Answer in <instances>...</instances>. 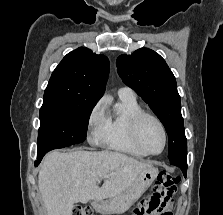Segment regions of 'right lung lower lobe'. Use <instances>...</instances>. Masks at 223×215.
Returning <instances> with one entry per match:
<instances>
[{
    "mask_svg": "<svg viewBox=\"0 0 223 215\" xmlns=\"http://www.w3.org/2000/svg\"><path fill=\"white\" fill-rule=\"evenodd\" d=\"M47 152H48V151H47ZM47 152L37 154V160H36V162H35V166H37V165L41 162L43 156H44Z\"/></svg>",
    "mask_w": 223,
    "mask_h": 215,
    "instance_id": "right-lung-lower-lobe-1",
    "label": "right lung lower lobe"
}]
</instances>
